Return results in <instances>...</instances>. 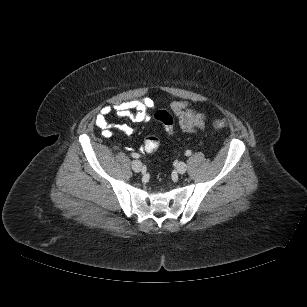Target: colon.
<instances>
[{"label":"colon","instance_id":"colon-1","mask_svg":"<svg viewBox=\"0 0 307 307\" xmlns=\"http://www.w3.org/2000/svg\"><path fill=\"white\" fill-rule=\"evenodd\" d=\"M154 118L159 121L168 133H172L174 129V122L172 115L166 110H159L154 114ZM227 126V119L218 117L213 121V127L216 129H223ZM160 141L154 135H148L144 139L143 147L147 152H154L158 149Z\"/></svg>","mask_w":307,"mask_h":307}]
</instances>
